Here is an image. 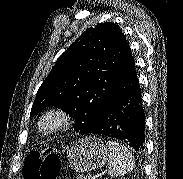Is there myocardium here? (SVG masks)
<instances>
[{"label": "myocardium", "instance_id": "f54148a6", "mask_svg": "<svg viewBox=\"0 0 183 179\" xmlns=\"http://www.w3.org/2000/svg\"><path fill=\"white\" fill-rule=\"evenodd\" d=\"M53 120V124L46 123ZM71 124V115L62 108H50L46 110L39 120V129L46 134H53L67 128Z\"/></svg>", "mask_w": 183, "mask_h": 179}]
</instances>
